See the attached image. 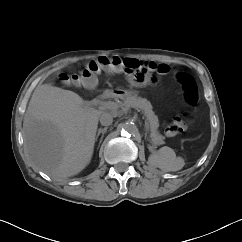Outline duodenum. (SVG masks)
Returning a JSON list of instances; mask_svg holds the SVG:
<instances>
[{
  "label": "duodenum",
  "instance_id": "obj_1",
  "mask_svg": "<svg viewBox=\"0 0 242 242\" xmlns=\"http://www.w3.org/2000/svg\"><path fill=\"white\" fill-rule=\"evenodd\" d=\"M115 95L114 91H105L104 93L99 95V99H107V98H111Z\"/></svg>",
  "mask_w": 242,
  "mask_h": 242
}]
</instances>
